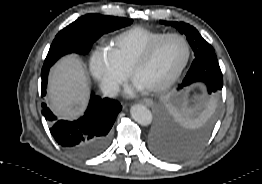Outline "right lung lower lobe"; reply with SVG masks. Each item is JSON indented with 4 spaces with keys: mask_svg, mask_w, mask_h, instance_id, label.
<instances>
[{
    "mask_svg": "<svg viewBox=\"0 0 262 184\" xmlns=\"http://www.w3.org/2000/svg\"><path fill=\"white\" fill-rule=\"evenodd\" d=\"M49 68L41 72V96L46 95ZM42 114L49 121L50 132L56 142L71 154L90 158L101 154L107 149L111 140V128L122 109L119 102L100 98L94 94L84 116L76 121H64L57 117L42 104Z\"/></svg>",
    "mask_w": 262,
    "mask_h": 184,
    "instance_id": "obj_1",
    "label": "right lung lower lobe"
}]
</instances>
